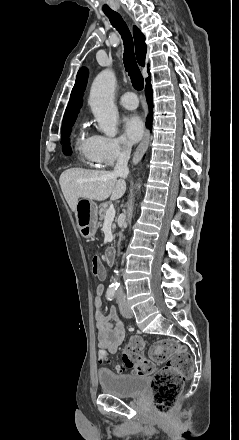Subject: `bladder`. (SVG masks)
Masks as SVG:
<instances>
[{
	"mask_svg": "<svg viewBox=\"0 0 239 440\" xmlns=\"http://www.w3.org/2000/svg\"><path fill=\"white\" fill-rule=\"evenodd\" d=\"M100 388L106 394L120 398H134L142 395L148 388L146 377L119 375L107 369L97 373Z\"/></svg>",
	"mask_w": 239,
	"mask_h": 440,
	"instance_id": "obj_1",
	"label": "bladder"
}]
</instances>
